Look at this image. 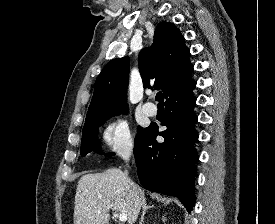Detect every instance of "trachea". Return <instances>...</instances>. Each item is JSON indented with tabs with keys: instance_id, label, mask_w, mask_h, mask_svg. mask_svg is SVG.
Segmentation results:
<instances>
[{
	"instance_id": "1",
	"label": "trachea",
	"mask_w": 275,
	"mask_h": 224,
	"mask_svg": "<svg viewBox=\"0 0 275 224\" xmlns=\"http://www.w3.org/2000/svg\"><path fill=\"white\" fill-rule=\"evenodd\" d=\"M156 101H158V105H163V94L162 92H158L155 97Z\"/></svg>"
}]
</instances>
